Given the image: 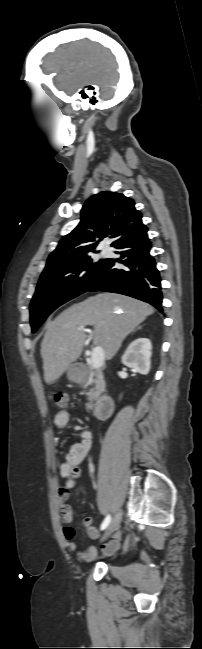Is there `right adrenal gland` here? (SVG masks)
Here are the masks:
<instances>
[{
	"label": "right adrenal gland",
	"mask_w": 202,
	"mask_h": 649,
	"mask_svg": "<svg viewBox=\"0 0 202 649\" xmlns=\"http://www.w3.org/2000/svg\"><path fill=\"white\" fill-rule=\"evenodd\" d=\"M140 328H141L140 326L137 327V328H135V329L132 331V333L135 332L136 330L140 329Z\"/></svg>",
	"instance_id": "1"
}]
</instances>
